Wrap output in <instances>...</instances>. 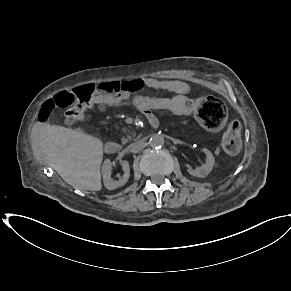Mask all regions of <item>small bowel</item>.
I'll list each match as a JSON object with an SVG mask.
<instances>
[{
  "label": "small bowel",
  "mask_w": 291,
  "mask_h": 291,
  "mask_svg": "<svg viewBox=\"0 0 291 291\" xmlns=\"http://www.w3.org/2000/svg\"><path fill=\"white\" fill-rule=\"evenodd\" d=\"M127 89L122 92L121 94L109 98L106 101H103L99 104V109L104 111L108 106L111 107H119L126 104L130 99L131 96L140 91L143 88H149L152 90H159V91H168L175 93L173 98L176 96H188L189 86L182 81L179 80H160L154 78H133L123 82ZM141 111L149 120H154V116L152 114V110H157L156 107H152L150 112H145L143 110V106H140ZM166 112V111H165ZM170 113V112H169ZM173 114V113H172ZM191 115V114H189Z\"/></svg>",
  "instance_id": "c3829d8e"
}]
</instances>
